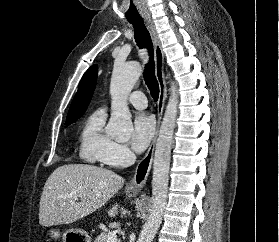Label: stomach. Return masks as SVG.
<instances>
[{"label": "stomach", "instance_id": "stomach-1", "mask_svg": "<svg viewBox=\"0 0 279 242\" xmlns=\"http://www.w3.org/2000/svg\"><path fill=\"white\" fill-rule=\"evenodd\" d=\"M48 234L55 240L62 237L63 242H90L88 234L80 229H67L64 233H60L59 229H51Z\"/></svg>", "mask_w": 279, "mask_h": 242}]
</instances>
